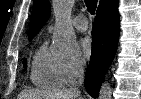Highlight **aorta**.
Instances as JSON below:
<instances>
[{
	"label": "aorta",
	"instance_id": "762f6f07",
	"mask_svg": "<svg viewBox=\"0 0 141 99\" xmlns=\"http://www.w3.org/2000/svg\"><path fill=\"white\" fill-rule=\"evenodd\" d=\"M74 0H53V11L56 17V29L53 35L55 50L62 55H72L78 50L73 27L70 23ZM110 83L104 81L99 92V99H111Z\"/></svg>",
	"mask_w": 141,
	"mask_h": 99
}]
</instances>
